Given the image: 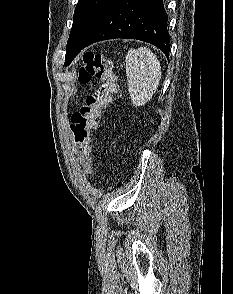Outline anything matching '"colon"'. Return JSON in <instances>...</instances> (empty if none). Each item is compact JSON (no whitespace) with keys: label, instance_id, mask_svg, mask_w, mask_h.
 <instances>
[{"label":"colon","instance_id":"1","mask_svg":"<svg viewBox=\"0 0 233 294\" xmlns=\"http://www.w3.org/2000/svg\"><path fill=\"white\" fill-rule=\"evenodd\" d=\"M93 78L99 81L98 87L73 114L70 125L74 143L87 172L91 171V132L96 128L103 110L111 102L118 88L111 61L101 53L87 52L83 56V66L78 80L80 84L85 85Z\"/></svg>","mask_w":233,"mask_h":294}]
</instances>
